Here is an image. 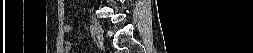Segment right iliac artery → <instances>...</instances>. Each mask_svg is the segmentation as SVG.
<instances>
[{
	"instance_id": "82829eb1",
	"label": "right iliac artery",
	"mask_w": 253,
	"mask_h": 53,
	"mask_svg": "<svg viewBox=\"0 0 253 53\" xmlns=\"http://www.w3.org/2000/svg\"><path fill=\"white\" fill-rule=\"evenodd\" d=\"M90 33L95 38V29L93 25L90 26Z\"/></svg>"
}]
</instances>
